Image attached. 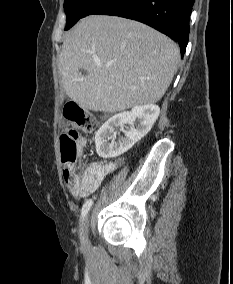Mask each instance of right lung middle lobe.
Instances as JSON below:
<instances>
[{
	"label": "right lung middle lobe",
	"instance_id": "obj_1",
	"mask_svg": "<svg viewBox=\"0 0 233 284\" xmlns=\"http://www.w3.org/2000/svg\"><path fill=\"white\" fill-rule=\"evenodd\" d=\"M107 0H65L66 28L70 29L80 18L90 15Z\"/></svg>",
	"mask_w": 233,
	"mask_h": 284
}]
</instances>
